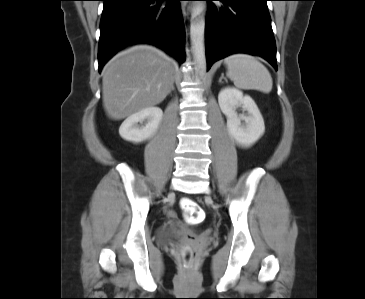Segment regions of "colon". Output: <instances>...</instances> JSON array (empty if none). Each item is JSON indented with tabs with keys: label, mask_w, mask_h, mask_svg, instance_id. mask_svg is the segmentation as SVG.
Masks as SVG:
<instances>
[{
	"label": "colon",
	"mask_w": 365,
	"mask_h": 299,
	"mask_svg": "<svg viewBox=\"0 0 365 299\" xmlns=\"http://www.w3.org/2000/svg\"><path fill=\"white\" fill-rule=\"evenodd\" d=\"M181 206L186 214L187 221L190 224H198L204 220L205 214L203 213L198 203L194 200L185 198L181 201ZM190 258V254L185 255V261L188 262Z\"/></svg>",
	"instance_id": "colon-1"
}]
</instances>
